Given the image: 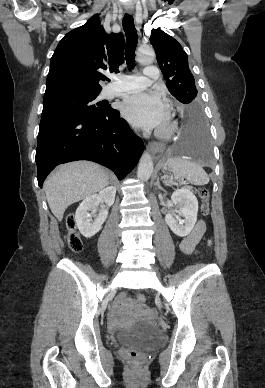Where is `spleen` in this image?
Returning <instances> with one entry per match:
<instances>
[{
	"label": "spleen",
	"instance_id": "1",
	"mask_svg": "<svg viewBox=\"0 0 265 388\" xmlns=\"http://www.w3.org/2000/svg\"><path fill=\"white\" fill-rule=\"evenodd\" d=\"M160 168H169L170 172H173L174 178L172 176H162L161 180L165 186L173 184V180L180 182L182 178H186L187 182L194 184V186H205L209 182L203 168L192 162L190 158H179V156L169 158L165 164H161Z\"/></svg>",
	"mask_w": 265,
	"mask_h": 388
}]
</instances>
